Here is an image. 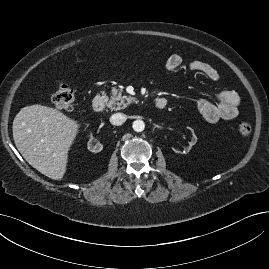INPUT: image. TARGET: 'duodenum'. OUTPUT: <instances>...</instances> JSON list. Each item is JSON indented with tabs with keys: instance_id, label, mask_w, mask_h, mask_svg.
I'll list each match as a JSON object with an SVG mask.
<instances>
[{
	"instance_id": "obj_1",
	"label": "duodenum",
	"mask_w": 269,
	"mask_h": 269,
	"mask_svg": "<svg viewBox=\"0 0 269 269\" xmlns=\"http://www.w3.org/2000/svg\"><path fill=\"white\" fill-rule=\"evenodd\" d=\"M106 104V98L103 95H97L92 100V109L95 112H101ZM154 105L156 109L163 110L167 106V99L159 97L155 100Z\"/></svg>"
}]
</instances>
